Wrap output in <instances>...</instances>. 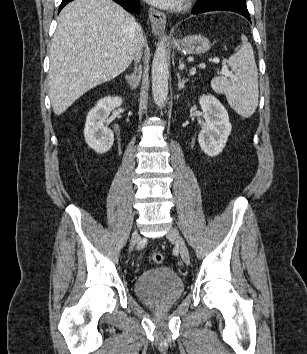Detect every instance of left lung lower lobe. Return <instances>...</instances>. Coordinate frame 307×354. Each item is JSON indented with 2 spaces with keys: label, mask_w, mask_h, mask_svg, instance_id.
Returning a JSON list of instances; mask_svg holds the SVG:
<instances>
[{
  "label": "left lung lower lobe",
  "mask_w": 307,
  "mask_h": 354,
  "mask_svg": "<svg viewBox=\"0 0 307 354\" xmlns=\"http://www.w3.org/2000/svg\"><path fill=\"white\" fill-rule=\"evenodd\" d=\"M219 10L239 13L251 22L246 0H197L192 12L198 14Z\"/></svg>",
  "instance_id": "1"
}]
</instances>
